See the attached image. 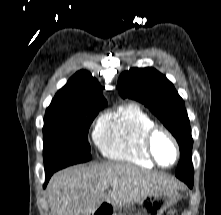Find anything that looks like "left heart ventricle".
I'll return each instance as SVG.
<instances>
[{
  "label": "left heart ventricle",
  "instance_id": "b2bd125f",
  "mask_svg": "<svg viewBox=\"0 0 221 215\" xmlns=\"http://www.w3.org/2000/svg\"><path fill=\"white\" fill-rule=\"evenodd\" d=\"M154 149L158 159L163 164H170L174 159V149L164 135H158L154 142Z\"/></svg>",
  "mask_w": 221,
  "mask_h": 215
}]
</instances>
